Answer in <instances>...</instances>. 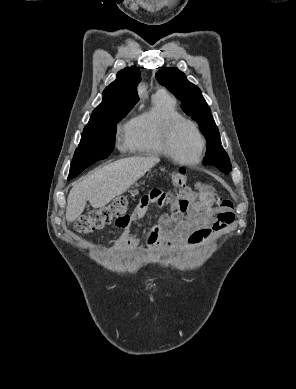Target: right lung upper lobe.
<instances>
[{
    "instance_id": "obj_1",
    "label": "right lung upper lobe",
    "mask_w": 296,
    "mask_h": 389,
    "mask_svg": "<svg viewBox=\"0 0 296 389\" xmlns=\"http://www.w3.org/2000/svg\"><path fill=\"white\" fill-rule=\"evenodd\" d=\"M139 81L138 67H127L119 71L116 80L103 91V101L94 109L91 118L103 116L115 109L133 107L138 102L136 85Z\"/></svg>"
}]
</instances>
